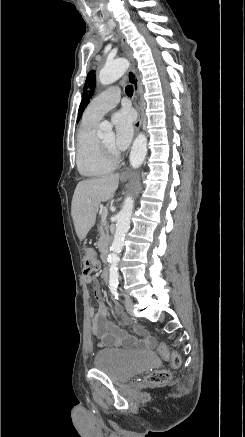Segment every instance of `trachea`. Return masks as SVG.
Instances as JSON below:
<instances>
[{"instance_id": "1", "label": "trachea", "mask_w": 245, "mask_h": 437, "mask_svg": "<svg viewBox=\"0 0 245 437\" xmlns=\"http://www.w3.org/2000/svg\"><path fill=\"white\" fill-rule=\"evenodd\" d=\"M125 92L128 96H132L133 95V86L132 85L126 86Z\"/></svg>"}]
</instances>
